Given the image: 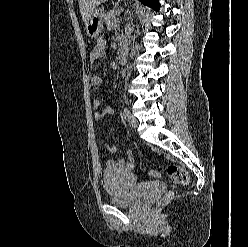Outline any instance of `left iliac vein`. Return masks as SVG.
<instances>
[{
	"instance_id": "1",
	"label": "left iliac vein",
	"mask_w": 248,
	"mask_h": 247,
	"mask_svg": "<svg viewBox=\"0 0 248 247\" xmlns=\"http://www.w3.org/2000/svg\"><path fill=\"white\" fill-rule=\"evenodd\" d=\"M128 121L132 128H136L138 126V120L134 116L130 115Z\"/></svg>"
}]
</instances>
